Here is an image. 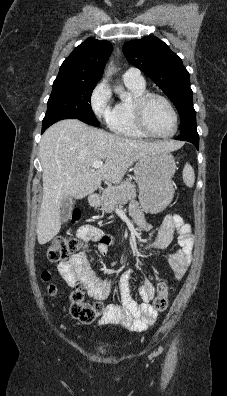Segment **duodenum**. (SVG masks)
Here are the masks:
<instances>
[{
  "label": "duodenum",
  "mask_w": 227,
  "mask_h": 396,
  "mask_svg": "<svg viewBox=\"0 0 227 396\" xmlns=\"http://www.w3.org/2000/svg\"><path fill=\"white\" fill-rule=\"evenodd\" d=\"M89 202H90V204L93 205V206H98L99 203H100V198H99L98 194H96V193L90 194V196H89Z\"/></svg>",
  "instance_id": "obj_1"
}]
</instances>
